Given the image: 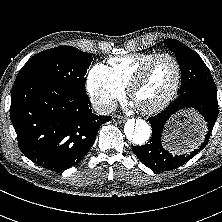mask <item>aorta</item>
Instances as JSON below:
<instances>
[{"instance_id":"obj_1","label":"aorta","mask_w":222,"mask_h":222,"mask_svg":"<svg viewBox=\"0 0 222 222\" xmlns=\"http://www.w3.org/2000/svg\"><path fill=\"white\" fill-rule=\"evenodd\" d=\"M123 136L128 143L142 146L151 136V127L141 118L130 119L124 125Z\"/></svg>"}]
</instances>
